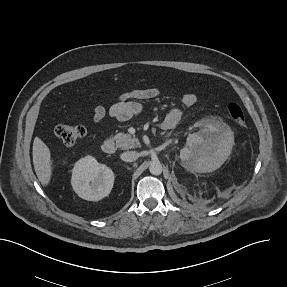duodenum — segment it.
Returning a JSON list of instances; mask_svg holds the SVG:
<instances>
[{
    "instance_id": "obj_1",
    "label": "duodenum",
    "mask_w": 287,
    "mask_h": 287,
    "mask_svg": "<svg viewBox=\"0 0 287 287\" xmlns=\"http://www.w3.org/2000/svg\"><path fill=\"white\" fill-rule=\"evenodd\" d=\"M102 151L106 154H113L115 152V143L112 139H106L102 144Z\"/></svg>"
}]
</instances>
